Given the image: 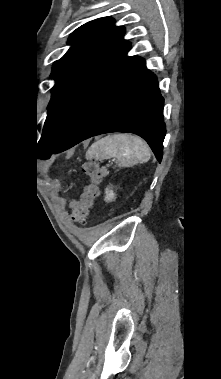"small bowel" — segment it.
Here are the masks:
<instances>
[{
	"label": "small bowel",
	"instance_id": "c3829d8e",
	"mask_svg": "<svg viewBox=\"0 0 221 379\" xmlns=\"http://www.w3.org/2000/svg\"><path fill=\"white\" fill-rule=\"evenodd\" d=\"M74 204H75V202H74V201H72V202H71V204H70V205H71V207H73V206H74Z\"/></svg>",
	"mask_w": 221,
	"mask_h": 379
}]
</instances>
